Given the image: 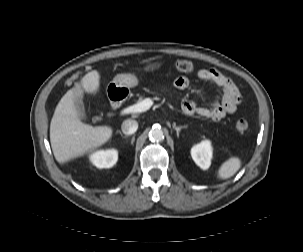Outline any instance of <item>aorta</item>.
<instances>
[{"instance_id":"aorta-1","label":"aorta","mask_w":303,"mask_h":252,"mask_svg":"<svg viewBox=\"0 0 303 252\" xmlns=\"http://www.w3.org/2000/svg\"><path fill=\"white\" fill-rule=\"evenodd\" d=\"M149 138L155 142L162 141L164 139L163 130L160 127H153L149 132Z\"/></svg>"}]
</instances>
